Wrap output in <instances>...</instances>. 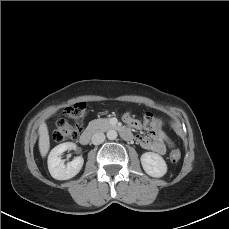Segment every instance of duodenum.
I'll use <instances>...</instances> for the list:
<instances>
[{
	"label": "duodenum",
	"instance_id": "1",
	"mask_svg": "<svg viewBox=\"0 0 229 229\" xmlns=\"http://www.w3.org/2000/svg\"><path fill=\"white\" fill-rule=\"evenodd\" d=\"M111 127L113 129H117L118 128V125L117 124H112ZM96 133V129L94 127H88L87 129H85L81 135H80V138H79V142L82 144V145H88L92 139V137L95 135ZM120 135L123 139H126V140H130L133 138L131 132L126 129V128H121L120 129Z\"/></svg>",
	"mask_w": 229,
	"mask_h": 229
}]
</instances>
